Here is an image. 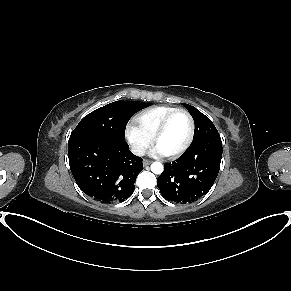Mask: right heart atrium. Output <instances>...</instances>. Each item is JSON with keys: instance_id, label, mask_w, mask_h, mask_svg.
<instances>
[{"instance_id": "right-heart-atrium-1", "label": "right heart atrium", "mask_w": 291, "mask_h": 291, "mask_svg": "<svg viewBox=\"0 0 291 291\" xmlns=\"http://www.w3.org/2000/svg\"><path fill=\"white\" fill-rule=\"evenodd\" d=\"M126 138L136 155H142L151 143L149 138L137 125L129 124L126 128Z\"/></svg>"}]
</instances>
